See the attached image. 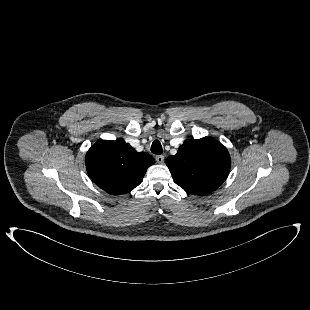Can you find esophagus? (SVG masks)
Masks as SVG:
<instances>
[{
  "instance_id": "esophagus-1",
  "label": "esophagus",
  "mask_w": 310,
  "mask_h": 310,
  "mask_svg": "<svg viewBox=\"0 0 310 310\" xmlns=\"http://www.w3.org/2000/svg\"><path fill=\"white\" fill-rule=\"evenodd\" d=\"M155 159H156V161L158 162V163H163L164 162V156L163 155H157L156 157H155Z\"/></svg>"
}]
</instances>
